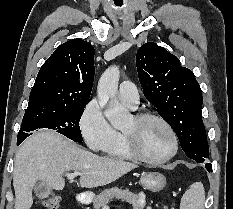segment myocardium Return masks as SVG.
<instances>
[{
  "mask_svg": "<svg viewBox=\"0 0 233 209\" xmlns=\"http://www.w3.org/2000/svg\"><path fill=\"white\" fill-rule=\"evenodd\" d=\"M134 120L136 124H140L145 120L148 119H154L158 122H160L168 131L171 140H172V148L171 151L162 158H150L144 155L141 150L139 149L136 141L135 134L132 132L123 131L124 138H125V144L126 147L131 154L133 158L136 160H139L141 162L147 163V164H153V165H161L169 162L171 159L174 158V156L177 154L178 148H179V142L177 134L172 127V125L161 115L151 112V111H142L138 112L134 115Z\"/></svg>",
  "mask_w": 233,
  "mask_h": 209,
  "instance_id": "f54148a6",
  "label": "myocardium"
}]
</instances>
